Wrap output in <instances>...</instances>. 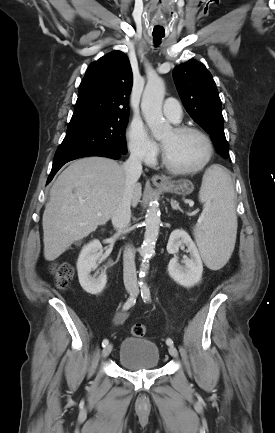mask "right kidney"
I'll return each mask as SVG.
<instances>
[{"instance_id":"obj_1","label":"right kidney","mask_w":275,"mask_h":433,"mask_svg":"<svg viewBox=\"0 0 275 433\" xmlns=\"http://www.w3.org/2000/svg\"><path fill=\"white\" fill-rule=\"evenodd\" d=\"M103 250L99 240H93L85 245L78 257V278L82 288L90 294H99L107 283V275L102 272L97 278L90 272L96 267V262L102 257Z\"/></svg>"}]
</instances>
